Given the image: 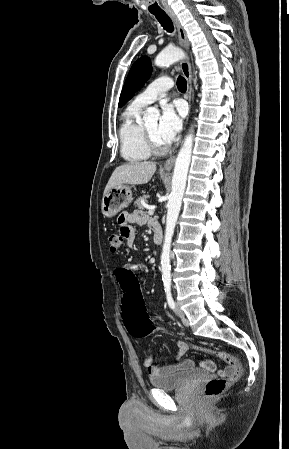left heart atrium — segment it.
Wrapping results in <instances>:
<instances>
[{
    "label": "left heart atrium",
    "mask_w": 289,
    "mask_h": 449,
    "mask_svg": "<svg viewBox=\"0 0 289 449\" xmlns=\"http://www.w3.org/2000/svg\"><path fill=\"white\" fill-rule=\"evenodd\" d=\"M158 122V134L165 144L172 143L182 128L183 108L173 103H164Z\"/></svg>",
    "instance_id": "39dd6f15"
}]
</instances>
